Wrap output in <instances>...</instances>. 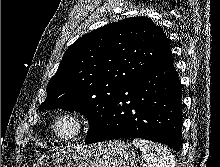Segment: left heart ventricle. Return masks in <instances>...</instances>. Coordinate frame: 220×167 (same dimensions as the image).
<instances>
[{
    "mask_svg": "<svg viewBox=\"0 0 220 167\" xmlns=\"http://www.w3.org/2000/svg\"><path fill=\"white\" fill-rule=\"evenodd\" d=\"M58 132L62 135H67L73 130V124L70 121H64L58 126Z\"/></svg>",
    "mask_w": 220,
    "mask_h": 167,
    "instance_id": "b2bd125f",
    "label": "left heart ventricle"
}]
</instances>
